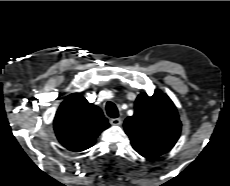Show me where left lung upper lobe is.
Listing matches in <instances>:
<instances>
[{
	"instance_id": "obj_1",
	"label": "left lung upper lobe",
	"mask_w": 230,
	"mask_h": 186,
	"mask_svg": "<svg viewBox=\"0 0 230 186\" xmlns=\"http://www.w3.org/2000/svg\"><path fill=\"white\" fill-rule=\"evenodd\" d=\"M133 148L143 157L154 159L172 149L177 142L181 122L171 99L160 90L152 96L141 93L135 112L124 122Z\"/></svg>"
}]
</instances>
